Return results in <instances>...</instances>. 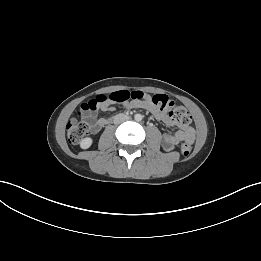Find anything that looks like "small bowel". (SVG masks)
<instances>
[{
  "label": "small bowel",
  "mask_w": 261,
  "mask_h": 261,
  "mask_svg": "<svg viewBox=\"0 0 261 261\" xmlns=\"http://www.w3.org/2000/svg\"><path fill=\"white\" fill-rule=\"evenodd\" d=\"M134 107L145 109L151 112L158 120L163 121L167 126L171 127L174 122L171 120L167 112H161L152 102L146 100L137 104ZM102 110H111V107L105 105ZM109 117L95 118L90 116V130L92 133H97L102 127L109 123ZM194 137V129L191 126H182L174 134H165L162 137V147L165 151H172L181 141Z\"/></svg>",
  "instance_id": "c3829d8e"
}]
</instances>
